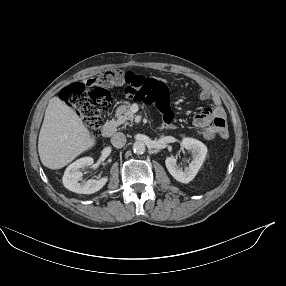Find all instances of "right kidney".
<instances>
[{"mask_svg":"<svg viewBox=\"0 0 286 286\" xmlns=\"http://www.w3.org/2000/svg\"><path fill=\"white\" fill-rule=\"evenodd\" d=\"M93 162V158L83 157L70 164L66 168L62 179L65 188L79 194H92L99 191L108 181L107 176L102 177L99 180L90 179L79 182L82 177L80 169L91 166Z\"/></svg>","mask_w":286,"mask_h":286,"instance_id":"right-kidney-1","label":"right kidney"}]
</instances>
